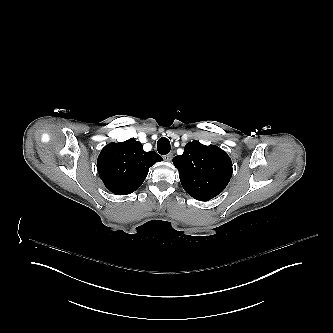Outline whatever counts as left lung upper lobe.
<instances>
[{"label":"left lung upper lobe","mask_w":333,"mask_h":333,"mask_svg":"<svg viewBox=\"0 0 333 333\" xmlns=\"http://www.w3.org/2000/svg\"><path fill=\"white\" fill-rule=\"evenodd\" d=\"M185 191L199 201L219 195L232 176V161L217 146H206L197 140L186 144L184 153L173 158Z\"/></svg>","instance_id":"5c2ea615"}]
</instances>
